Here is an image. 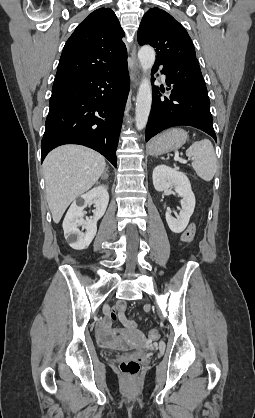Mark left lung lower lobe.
<instances>
[{
  "label": "left lung lower lobe",
  "instance_id": "obj_1",
  "mask_svg": "<svg viewBox=\"0 0 255 418\" xmlns=\"http://www.w3.org/2000/svg\"><path fill=\"white\" fill-rule=\"evenodd\" d=\"M159 66H163L161 72L166 75V84L171 86V94L170 97H162L158 87L154 86L152 108L146 126V141L162 130L178 125L193 126L216 140L210 100L198 60L165 63L155 61L152 75Z\"/></svg>",
  "mask_w": 255,
  "mask_h": 418
}]
</instances>
